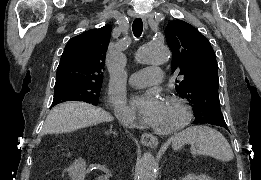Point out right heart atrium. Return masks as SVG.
Instances as JSON below:
<instances>
[{
	"label": "right heart atrium",
	"instance_id": "1",
	"mask_svg": "<svg viewBox=\"0 0 261 180\" xmlns=\"http://www.w3.org/2000/svg\"><path fill=\"white\" fill-rule=\"evenodd\" d=\"M106 103L116 114H122L126 112L123 97L114 90H110L108 92L106 96Z\"/></svg>",
	"mask_w": 261,
	"mask_h": 180
}]
</instances>
